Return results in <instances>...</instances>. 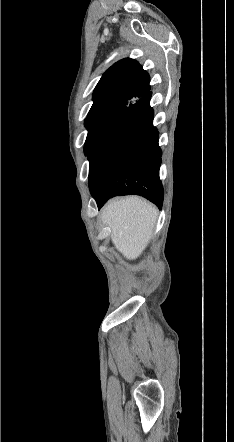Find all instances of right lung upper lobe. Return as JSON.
<instances>
[{
  "mask_svg": "<svg viewBox=\"0 0 234 442\" xmlns=\"http://www.w3.org/2000/svg\"><path fill=\"white\" fill-rule=\"evenodd\" d=\"M149 74L134 59L113 64L102 76L93 93V105L87 115L117 114L150 90Z\"/></svg>",
  "mask_w": 234,
  "mask_h": 442,
  "instance_id": "1",
  "label": "right lung upper lobe"
}]
</instances>
